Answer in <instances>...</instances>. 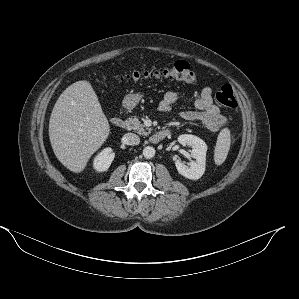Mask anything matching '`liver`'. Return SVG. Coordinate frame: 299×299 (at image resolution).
Returning a JSON list of instances; mask_svg holds the SVG:
<instances>
[{"label": "liver", "mask_w": 299, "mask_h": 299, "mask_svg": "<svg viewBox=\"0 0 299 299\" xmlns=\"http://www.w3.org/2000/svg\"><path fill=\"white\" fill-rule=\"evenodd\" d=\"M110 126L88 81L67 87L56 101L49 121V139L57 159L80 173L106 141Z\"/></svg>", "instance_id": "liver-1"}]
</instances>
